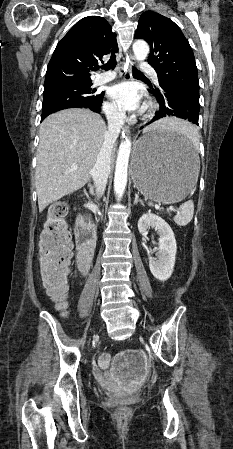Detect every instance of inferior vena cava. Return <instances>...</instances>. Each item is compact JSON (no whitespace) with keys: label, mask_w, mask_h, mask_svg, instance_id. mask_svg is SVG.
Returning a JSON list of instances; mask_svg holds the SVG:
<instances>
[{"label":"inferior vena cava","mask_w":233,"mask_h":449,"mask_svg":"<svg viewBox=\"0 0 233 449\" xmlns=\"http://www.w3.org/2000/svg\"><path fill=\"white\" fill-rule=\"evenodd\" d=\"M124 119L125 113L120 110H113L107 115L108 131L105 135L103 145L92 172V179L96 187V195L98 199L103 195L106 188L107 180L110 174L113 146L120 133Z\"/></svg>","instance_id":"1"}]
</instances>
